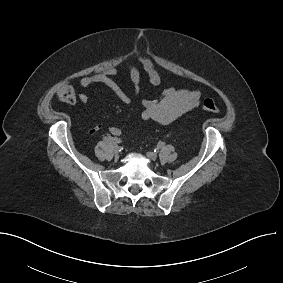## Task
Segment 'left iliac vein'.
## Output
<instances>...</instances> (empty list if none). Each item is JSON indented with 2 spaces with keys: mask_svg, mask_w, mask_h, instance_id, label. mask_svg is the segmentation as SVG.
Listing matches in <instances>:
<instances>
[{
  "mask_svg": "<svg viewBox=\"0 0 283 283\" xmlns=\"http://www.w3.org/2000/svg\"><path fill=\"white\" fill-rule=\"evenodd\" d=\"M147 157L153 161H155L157 159V154L154 152H147L146 153Z\"/></svg>",
  "mask_w": 283,
  "mask_h": 283,
  "instance_id": "obj_1",
  "label": "left iliac vein"
}]
</instances>
